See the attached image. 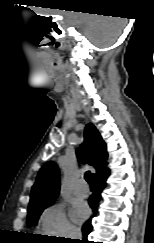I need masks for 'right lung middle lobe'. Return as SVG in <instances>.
Wrapping results in <instances>:
<instances>
[{
  "instance_id": "dd1d6c3e",
  "label": "right lung middle lobe",
  "mask_w": 154,
  "mask_h": 243,
  "mask_svg": "<svg viewBox=\"0 0 154 243\" xmlns=\"http://www.w3.org/2000/svg\"><path fill=\"white\" fill-rule=\"evenodd\" d=\"M51 204L52 202H48L36 207L28 208V215H27L28 226L36 225L43 210Z\"/></svg>"
}]
</instances>
